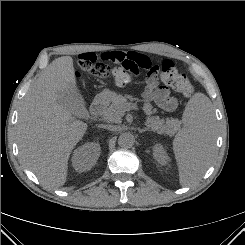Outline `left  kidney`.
I'll return each mask as SVG.
<instances>
[{"mask_svg":"<svg viewBox=\"0 0 245 245\" xmlns=\"http://www.w3.org/2000/svg\"><path fill=\"white\" fill-rule=\"evenodd\" d=\"M153 157L161 165H165L169 161V157L166 151L164 150L163 146L160 144H156L153 147Z\"/></svg>","mask_w":245,"mask_h":245,"instance_id":"1","label":"left kidney"}]
</instances>
